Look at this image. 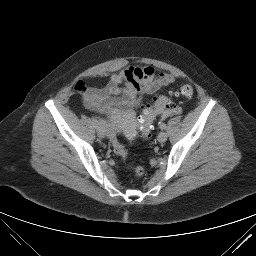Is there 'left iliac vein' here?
Listing matches in <instances>:
<instances>
[{
	"instance_id": "obj_1",
	"label": "left iliac vein",
	"mask_w": 256,
	"mask_h": 256,
	"mask_svg": "<svg viewBox=\"0 0 256 256\" xmlns=\"http://www.w3.org/2000/svg\"><path fill=\"white\" fill-rule=\"evenodd\" d=\"M157 140H158L160 143H164V142L167 140V133H165V132H160V133L158 134Z\"/></svg>"
}]
</instances>
